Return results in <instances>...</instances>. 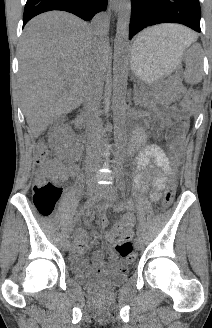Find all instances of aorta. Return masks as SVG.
<instances>
[{
  "instance_id": "1",
  "label": "aorta",
  "mask_w": 212,
  "mask_h": 328,
  "mask_svg": "<svg viewBox=\"0 0 212 328\" xmlns=\"http://www.w3.org/2000/svg\"><path fill=\"white\" fill-rule=\"evenodd\" d=\"M131 2L121 0L119 5L117 30L114 40V63H113V95L112 110L114 122V137L117 144L125 141L126 135V90L128 77V39L130 24ZM119 162V157L116 159ZM115 176H122L121 167H114Z\"/></svg>"
}]
</instances>
